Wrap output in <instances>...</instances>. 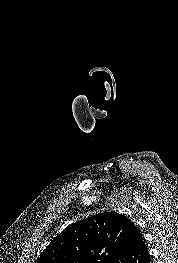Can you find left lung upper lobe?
Returning a JSON list of instances; mask_svg holds the SVG:
<instances>
[{
  "label": "left lung upper lobe",
  "mask_w": 178,
  "mask_h": 263,
  "mask_svg": "<svg viewBox=\"0 0 178 263\" xmlns=\"http://www.w3.org/2000/svg\"><path fill=\"white\" fill-rule=\"evenodd\" d=\"M132 225L117 212L80 220L57 235L35 263H111Z\"/></svg>",
  "instance_id": "obj_1"
}]
</instances>
